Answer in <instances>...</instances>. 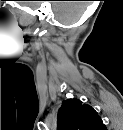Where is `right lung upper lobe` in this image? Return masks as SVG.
Masks as SVG:
<instances>
[{
  "label": "right lung upper lobe",
  "mask_w": 123,
  "mask_h": 130,
  "mask_svg": "<svg viewBox=\"0 0 123 130\" xmlns=\"http://www.w3.org/2000/svg\"><path fill=\"white\" fill-rule=\"evenodd\" d=\"M57 119L58 127L71 130H98L104 127L98 113L78 99L63 101Z\"/></svg>",
  "instance_id": "cb5924a9"
}]
</instances>
